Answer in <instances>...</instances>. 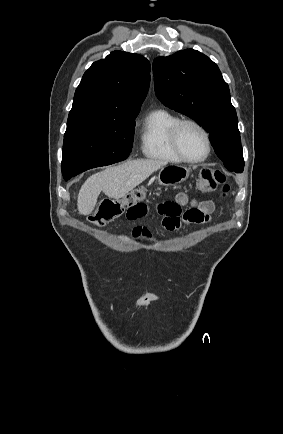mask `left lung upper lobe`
Listing matches in <instances>:
<instances>
[{
    "label": "left lung upper lobe",
    "mask_w": 283,
    "mask_h": 434,
    "mask_svg": "<svg viewBox=\"0 0 283 434\" xmlns=\"http://www.w3.org/2000/svg\"><path fill=\"white\" fill-rule=\"evenodd\" d=\"M153 74L157 98L201 124L225 167L241 173L244 159L238 118L217 64L196 50L186 49L155 58Z\"/></svg>",
    "instance_id": "5c2ea615"
}]
</instances>
